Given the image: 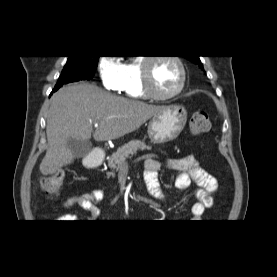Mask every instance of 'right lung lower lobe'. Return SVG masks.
I'll use <instances>...</instances> for the list:
<instances>
[{
    "label": "right lung lower lobe",
    "instance_id": "right-lung-lower-lobe-1",
    "mask_svg": "<svg viewBox=\"0 0 277 277\" xmlns=\"http://www.w3.org/2000/svg\"><path fill=\"white\" fill-rule=\"evenodd\" d=\"M63 84H64L63 81L58 82V83L56 84L55 88H54V91H56L57 89H59ZM54 91H53V92H54Z\"/></svg>",
    "mask_w": 277,
    "mask_h": 277
}]
</instances>
